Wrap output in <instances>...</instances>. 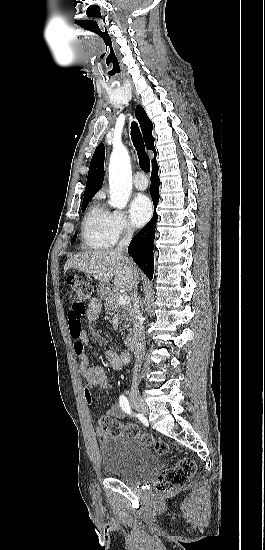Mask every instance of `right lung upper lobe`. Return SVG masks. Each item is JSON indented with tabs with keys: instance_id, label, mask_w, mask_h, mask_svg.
<instances>
[{
	"instance_id": "right-lung-upper-lobe-1",
	"label": "right lung upper lobe",
	"mask_w": 265,
	"mask_h": 550,
	"mask_svg": "<svg viewBox=\"0 0 265 550\" xmlns=\"http://www.w3.org/2000/svg\"><path fill=\"white\" fill-rule=\"evenodd\" d=\"M135 115L139 121L146 147L147 149L152 150L154 152V157H156V151L154 147V138L152 136V128H153L152 122L148 118L145 110L141 105H138L136 107ZM104 157H105L104 145L100 144L96 148L90 163L86 188L84 191V199L92 198L95 195V193L100 189L103 183ZM155 162L156 160L154 159L152 161V164Z\"/></svg>"
}]
</instances>
